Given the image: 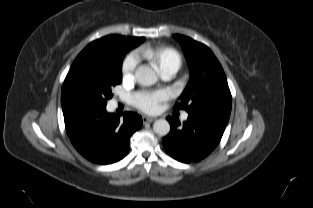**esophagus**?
Returning a JSON list of instances; mask_svg holds the SVG:
<instances>
[{"label":"esophagus","mask_w":313,"mask_h":208,"mask_svg":"<svg viewBox=\"0 0 313 208\" xmlns=\"http://www.w3.org/2000/svg\"><path fill=\"white\" fill-rule=\"evenodd\" d=\"M156 119L151 117H143V123H151L154 122Z\"/></svg>","instance_id":"esophagus-1"}]
</instances>
